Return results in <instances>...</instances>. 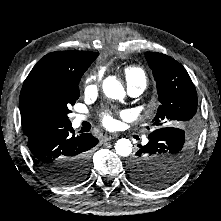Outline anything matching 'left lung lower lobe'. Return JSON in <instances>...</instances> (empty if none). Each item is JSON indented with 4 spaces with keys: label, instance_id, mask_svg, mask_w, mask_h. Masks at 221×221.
Returning <instances> with one entry per match:
<instances>
[{
    "label": "left lung lower lobe",
    "instance_id": "left-lung-lower-lobe-1",
    "mask_svg": "<svg viewBox=\"0 0 221 221\" xmlns=\"http://www.w3.org/2000/svg\"><path fill=\"white\" fill-rule=\"evenodd\" d=\"M170 128H162L158 129L155 132L151 133L149 137V142L148 144L142 146L138 145L139 149L135 153V156L131 159L130 164H129V170H130V175L131 179L134 177H146L148 176V182L151 184V187H156L162 179H169V177L163 176V173L157 172L156 169H153L154 171L148 170L147 169V163L143 159L144 153L149 149L148 145H153L157 143H161V139H173L176 136L175 131L168 130ZM147 171L153 172L152 174H147Z\"/></svg>",
    "mask_w": 221,
    "mask_h": 221
}]
</instances>
